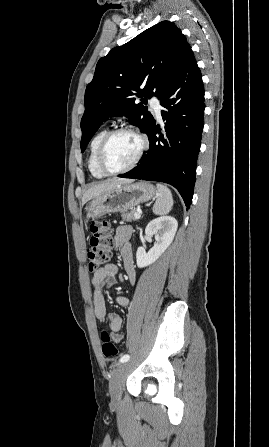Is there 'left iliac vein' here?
<instances>
[{"label":"left iliac vein","mask_w":269,"mask_h":447,"mask_svg":"<svg viewBox=\"0 0 269 447\" xmlns=\"http://www.w3.org/2000/svg\"><path fill=\"white\" fill-rule=\"evenodd\" d=\"M129 363H121L112 373V377L109 383V392L114 404H118L121 401L122 396V382L128 373Z\"/></svg>","instance_id":"obj_1"}]
</instances>
